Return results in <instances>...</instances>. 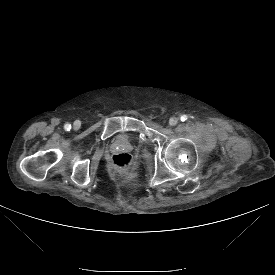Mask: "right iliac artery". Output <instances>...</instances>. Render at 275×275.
<instances>
[{"instance_id":"obj_1","label":"right iliac artery","mask_w":275,"mask_h":275,"mask_svg":"<svg viewBox=\"0 0 275 275\" xmlns=\"http://www.w3.org/2000/svg\"><path fill=\"white\" fill-rule=\"evenodd\" d=\"M64 129H65L66 131H70V129H71V124H69V123L65 124V125H64Z\"/></svg>"}]
</instances>
